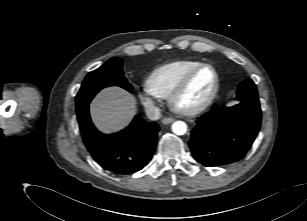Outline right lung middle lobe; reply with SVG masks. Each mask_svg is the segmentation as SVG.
<instances>
[{
	"mask_svg": "<svg viewBox=\"0 0 307 221\" xmlns=\"http://www.w3.org/2000/svg\"><path fill=\"white\" fill-rule=\"evenodd\" d=\"M114 85L132 92V86L123 74L122 60L116 57L111 58L107 63L86 76L76 96L77 112L87 107L102 88Z\"/></svg>",
	"mask_w": 307,
	"mask_h": 221,
	"instance_id": "1",
	"label": "right lung middle lobe"
}]
</instances>
